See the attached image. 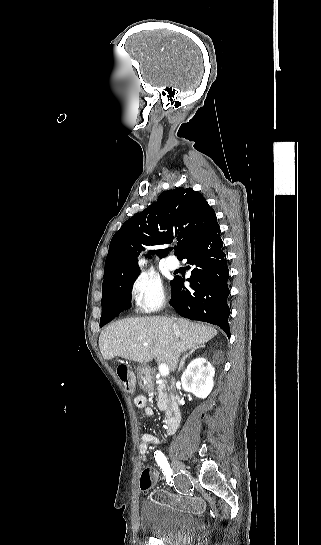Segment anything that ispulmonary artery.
Returning a JSON list of instances; mask_svg holds the SVG:
<instances>
[{
    "instance_id": "pulmonary-artery-1",
    "label": "pulmonary artery",
    "mask_w": 321,
    "mask_h": 545,
    "mask_svg": "<svg viewBox=\"0 0 321 545\" xmlns=\"http://www.w3.org/2000/svg\"><path fill=\"white\" fill-rule=\"evenodd\" d=\"M179 265V261L175 258H168L166 260V267L171 271L178 269Z\"/></svg>"
}]
</instances>
